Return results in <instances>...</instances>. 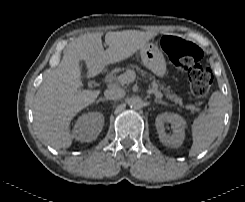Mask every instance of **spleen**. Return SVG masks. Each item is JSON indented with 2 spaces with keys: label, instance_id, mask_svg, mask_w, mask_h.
Returning <instances> with one entry per match:
<instances>
[{
  "label": "spleen",
  "instance_id": "3e777b00",
  "mask_svg": "<svg viewBox=\"0 0 245 202\" xmlns=\"http://www.w3.org/2000/svg\"><path fill=\"white\" fill-rule=\"evenodd\" d=\"M208 104V113L196 118L192 124L193 144L189 151L190 157L208 148L221 132L225 114L222 93L215 91Z\"/></svg>",
  "mask_w": 245,
  "mask_h": 202
}]
</instances>
